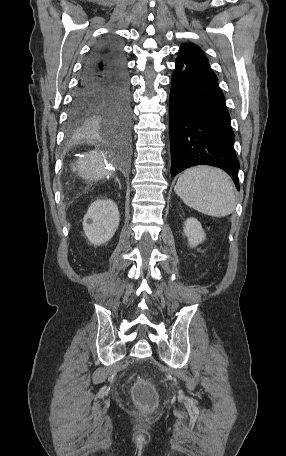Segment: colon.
<instances>
[{
	"label": "colon",
	"instance_id": "colon-1",
	"mask_svg": "<svg viewBox=\"0 0 286 456\" xmlns=\"http://www.w3.org/2000/svg\"><path fill=\"white\" fill-rule=\"evenodd\" d=\"M135 401L144 409H152L157 402L154 387L146 382H138L133 388Z\"/></svg>",
	"mask_w": 286,
	"mask_h": 456
}]
</instances>
